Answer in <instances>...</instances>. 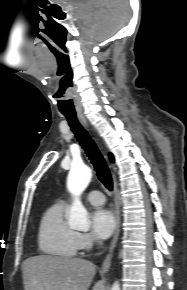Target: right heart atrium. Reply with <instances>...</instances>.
<instances>
[{
	"label": "right heart atrium",
	"mask_w": 187,
	"mask_h": 290,
	"mask_svg": "<svg viewBox=\"0 0 187 290\" xmlns=\"http://www.w3.org/2000/svg\"><path fill=\"white\" fill-rule=\"evenodd\" d=\"M79 249L88 250L94 243L93 238L86 233H77Z\"/></svg>",
	"instance_id": "right-heart-atrium-1"
}]
</instances>
